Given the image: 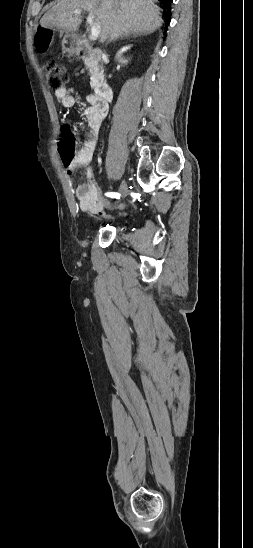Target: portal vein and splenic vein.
I'll list each match as a JSON object with an SVG mask.
<instances>
[{
    "label": "portal vein and splenic vein",
    "mask_w": 253,
    "mask_h": 548,
    "mask_svg": "<svg viewBox=\"0 0 253 548\" xmlns=\"http://www.w3.org/2000/svg\"><path fill=\"white\" fill-rule=\"evenodd\" d=\"M81 10H74L72 13L75 14V15H80L81 14ZM94 16L92 14H89L88 17H87V21L89 22L90 24V27H91V33H90V40L94 41L98 38L99 34H100V25L98 23H95L94 22Z\"/></svg>",
    "instance_id": "1"
}]
</instances>
